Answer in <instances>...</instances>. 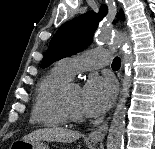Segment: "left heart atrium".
<instances>
[{
	"label": "left heart atrium",
	"instance_id": "obj_1",
	"mask_svg": "<svg viewBox=\"0 0 155 149\" xmlns=\"http://www.w3.org/2000/svg\"><path fill=\"white\" fill-rule=\"evenodd\" d=\"M116 85L111 78L92 77L81 90L80 107L84 116L104 114L115 97Z\"/></svg>",
	"mask_w": 155,
	"mask_h": 149
}]
</instances>
